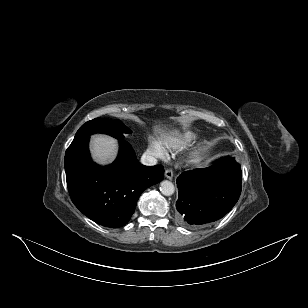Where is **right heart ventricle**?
I'll use <instances>...</instances> for the list:
<instances>
[{"label": "right heart ventricle", "mask_w": 308, "mask_h": 308, "mask_svg": "<svg viewBox=\"0 0 308 308\" xmlns=\"http://www.w3.org/2000/svg\"><path fill=\"white\" fill-rule=\"evenodd\" d=\"M194 137L192 132L187 131L178 135L166 137L161 145L167 149H180L188 145Z\"/></svg>", "instance_id": "e07e8e85"}]
</instances>
